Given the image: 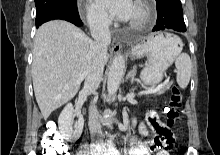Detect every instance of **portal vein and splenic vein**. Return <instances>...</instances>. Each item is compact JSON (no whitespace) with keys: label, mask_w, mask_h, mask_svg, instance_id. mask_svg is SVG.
<instances>
[{"label":"portal vein and splenic vein","mask_w":220,"mask_h":155,"mask_svg":"<svg viewBox=\"0 0 220 155\" xmlns=\"http://www.w3.org/2000/svg\"><path fill=\"white\" fill-rule=\"evenodd\" d=\"M164 86V83L159 84L156 88L148 90L146 93H154L160 90Z\"/></svg>","instance_id":"1"}]
</instances>
